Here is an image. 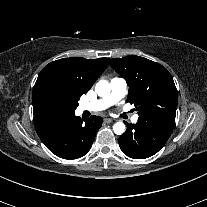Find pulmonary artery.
Listing matches in <instances>:
<instances>
[{
    "label": "pulmonary artery",
    "mask_w": 207,
    "mask_h": 207,
    "mask_svg": "<svg viewBox=\"0 0 207 207\" xmlns=\"http://www.w3.org/2000/svg\"><path fill=\"white\" fill-rule=\"evenodd\" d=\"M127 90V82L121 77H114L111 79V93L99 100H95L89 103H84L78 107V113L81 114L84 111L98 112L107 109L119 100H121ZM139 120L138 115L131 117L132 123H137Z\"/></svg>",
    "instance_id": "obj_1"
}]
</instances>
